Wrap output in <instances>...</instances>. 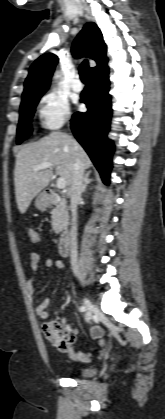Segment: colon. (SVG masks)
I'll list each match as a JSON object with an SVG mask.
<instances>
[{
    "instance_id": "1",
    "label": "colon",
    "mask_w": 165,
    "mask_h": 419,
    "mask_svg": "<svg viewBox=\"0 0 165 419\" xmlns=\"http://www.w3.org/2000/svg\"><path fill=\"white\" fill-rule=\"evenodd\" d=\"M28 235L32 242L36 243L39 241L38 232L33 229H28ZM42 332L46 338L57 344H64L70 340L71 329L68 326H64L58 322L50 321L42 325Z\"/></svg>"
}]
</instances>
